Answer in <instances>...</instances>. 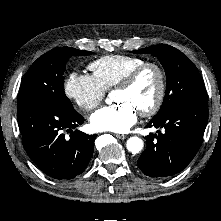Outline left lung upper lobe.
Returning <instances> with one entry per match:
<instances>
[{
	"mask_svg": "<svg viewBox=\"0 0 221 221\" xmlns=\"http://www.w3.org/2000/svg\"><path fill=\"white\" fill-rule=\"evenodd\" d=\"M136 52L156 56L165 69V98L159 112L153 118L163 117L187 102L207 99V92L196 66L178 49L169 45H154Z\"/></svg>",
	"mask_w": 221,
	"mask_h": 221,
	"instance_id": "left-lung-upper-lobe-1",
	"label": "left lung upper lobe"
}]
</instances>
